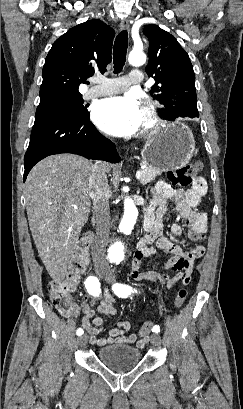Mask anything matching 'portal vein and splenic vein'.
<instances>
[{
  "instance_id": "1",
  "label": "portal vein and splenic vein",
  "mask_w": 243,
  "mask_h": 409,
  "mask_svg": "<svg viewBox=\"0 0 243 409\" xmlns=\"http://www.w3.org/2000/svg\"><path fill=\"white\" fill-rule=\"evenodd\" d=\"M136 178H137L138 180H140V178H141V171H137V173H136Z\"/></svg>"
}]
</instances>
